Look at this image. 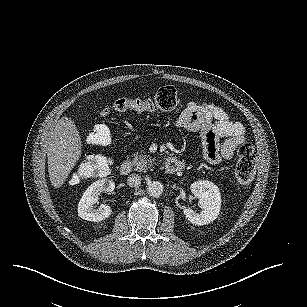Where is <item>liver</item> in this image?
Listing matches in <instances>:
<instances>
[{"label": "liver", "instance_id": "6515ba94", "mask_svg": "<svg viewBox=\"0 0 307 307\" xmlns=\"http://www.w3.org/2000/svg\"><path fill=\"white\" fill-rule=\"evenodd\" d=\"M82 141L75 123L62 117L51 135L47 164L51 185L60 188L81 156Z\"/></svg>", "mask_w": 307, "mask_h": 307}]
</instances>
